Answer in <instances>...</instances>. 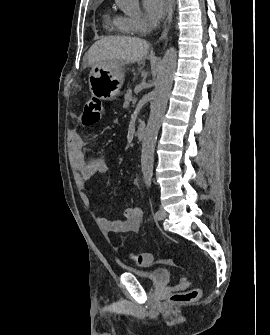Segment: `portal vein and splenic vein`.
Segmentation results:
<instances>
[{
    "instance_id": "1",
    "label": "portal vein and splenic vein",
    "mask_w": 270,
    "mask_h": 335,
    "mask_svg": "<svg viewBox=\"0 0 270 335\" xmlns=\"http://www.w3.org/2000/svg\"><path fill=\"white\" fill-rule=\"evenodd\" d=\"M137 99H139V96H136V98H134L133 104H136Z\"/></svg>"
}]
</instances>
